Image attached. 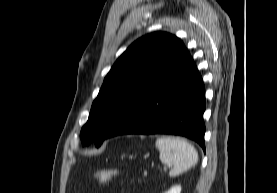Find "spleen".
<instances>
[{"label":"spleen","mask_w":277,"mask_h":193,"mask_svg":"<svg viewBox=\"0 0 277 193\" xmlns=\"http://www.w3.org/2000/svg\"><path fill=\"white\" fill-rule=\"evenodd\" d=\"M163 164L173 163L169 176L175 177L195 166L198 162L196 149L186 140L178 137H160L156 140Z\"/></svg>","instance_id":"1"}]
</instances>
